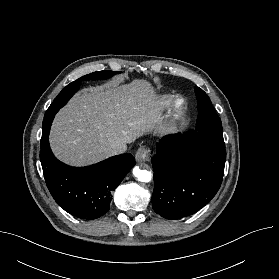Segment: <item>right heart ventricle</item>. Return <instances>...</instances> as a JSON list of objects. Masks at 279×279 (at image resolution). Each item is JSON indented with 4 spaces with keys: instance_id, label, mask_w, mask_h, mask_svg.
<instances>
[{
    "instance_id": "right-heart-ventricle-1",
    "label": "right heart ventricle",
    "mask_w": 279,
    "mask_h": 279,
    "mask_svg": "<svg viewBox=\"0 0 279 279\" xmlns=\"http://www.w3.org/2000/svg\"><path fill=\"white\" fill-rule=\"evenodd\" d=\"M172 96L171 95H164L158 101V107L162 110L165 109L171 102Z\"/></svg>"
}]
</instances>
